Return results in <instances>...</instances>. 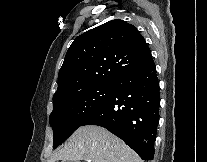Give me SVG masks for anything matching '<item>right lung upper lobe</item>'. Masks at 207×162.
Returning <instances> with one entry per match:
<instances>
[{"label":"right lung upper lobe","mask_w":207,"mask_h":162,"mask_svg":"<svg viewBox=\"0 0 207 162\" xmlns=\"http://www.w3.org/2000/svg\"><path fill=\"white\" fill-rule=\"evenodd\" d=\"M152 59L135 26L115 19L78 36L58 74L53 99L97 85L114 84L127 71Z\"/></svg>","instance_id":"cb5924a9"}]
</instances>
